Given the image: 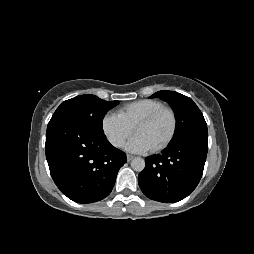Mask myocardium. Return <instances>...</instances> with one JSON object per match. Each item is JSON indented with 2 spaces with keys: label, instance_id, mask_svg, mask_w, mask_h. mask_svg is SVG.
Here are the masks:
<instances>
[{
  "label": "myocardium",
  "instance_id": "f54148a6",
  "mask_svg": "<svg viewBox=\"0 0 254 254\" xmlns=\"http://www.w3.org/2000/svg\"><path fill=\"white\" fill-rule=\"evenodd\" d=\"M164 112L168 113L171 117V120H172L171 131H170L168 137L160 145L152 148V151H154V152H159V151L165 149L173 141V139L176 135L177 125H178L177 116H176L175 111L170 107L162 106V107L152 111L151 113H149L142 119H140L134 126V130L136 132V129L139 126L146 125V124L150 123L157 116H159L161 113H164Z\"/></svg>",
  "mask_w": 254,
  "mask_h": 254
}]
</instances>
